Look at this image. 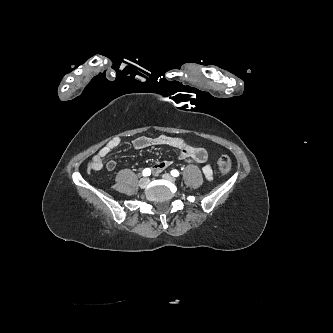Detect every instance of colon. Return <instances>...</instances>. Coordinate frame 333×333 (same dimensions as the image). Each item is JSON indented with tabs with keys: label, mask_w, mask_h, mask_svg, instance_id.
I'll list each match as a JSON object with an SVG mask.
<instances>
[{
	"label": "colon",
	"mask_w": 333,
	"mask_h": 333,
	"mask_svg": "<svg viewBox=\"0 0 333 333\" xmlns=\"http://www.w3.org/2000/svg\"><path fill=\"white\" fill-rule=\"evenodd\" d=\"M217 164L222 174H228L230 172L232 163L229 156H227L226 154L219 155L217 159Z\"/></svg>",
	"instance_id": "obj_1"
}]
</instances>
